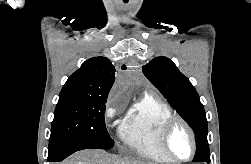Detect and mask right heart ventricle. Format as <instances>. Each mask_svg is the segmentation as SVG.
I'll return each instance as SVG.
<instances>
[{"mask_svg":"<svg viewBox=\"0 0 251 164\" xmlns=\"http://www.w3.org/2000/svg\"><path fill=\"white\" fill-rule=\"evenodd\" d=\"M174 116L164 101L146 94L127 111L119 127V137L125 147L154 162L172 161L162 152L159 133L164 122Z\"/></svg>","mask_w":251,"mask_h":164,"instance_id":"obj_1","label":"right heart ventricle"}]
</instances>
